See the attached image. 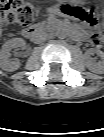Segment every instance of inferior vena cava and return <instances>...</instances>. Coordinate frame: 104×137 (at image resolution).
<instances>
[{
    "mask_svg": "<svg viewBox=\"0 0 104 137\" xmlns=\"http://www.w3.org/2000/svg\"><path fill=\"white\" fill-rule=\"evenodd\" d=\"M46 37H47V35L45 33L38 32V33H36V35L34 37V42L41 43L43 40L46 39Z\"/></svg>",
    "mask_w": 104,
    "mask_h": 137,
    "instance_id": "obj_1",
    "label": "inferior vena cava"
}]
</instances>
